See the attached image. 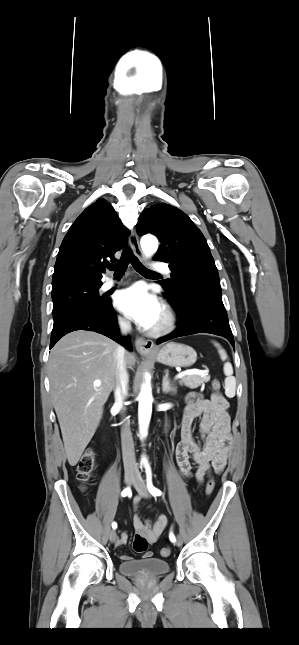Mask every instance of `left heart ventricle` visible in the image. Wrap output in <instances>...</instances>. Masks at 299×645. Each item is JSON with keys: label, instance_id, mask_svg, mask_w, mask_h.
<instances>
[{"label": "left heart ventricle", "instance_id": "1", "mask_svg": "<svg viewBox=\"0 0 299 645\" xmlns=\"http://www.w3.org/2000/svg\"><path fill=\"white\" fill-rule=\"evenodd\" d=\"M159 320H160V317L158 318V320H157V322L155 323V325L159 322ZM155 325H154V326H155Z\"/></svg>", "mask_w": 299, "mask_h": 645}]
</instances>
